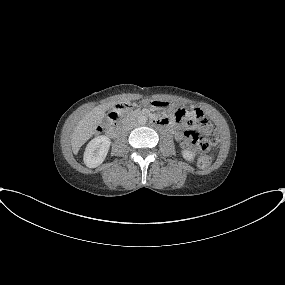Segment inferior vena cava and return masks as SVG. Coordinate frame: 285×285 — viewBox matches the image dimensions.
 <instances>
[{"mask_svg":"<svg viewBox=\"0 0 285 285\" xmlns=\"http://www.w3.org/2000/svg\"><path fill=\"white\" fill-rule=\"evenodd\" d=\"M136 125H137V123L133 122V123L126 126V130H130V129L134 128Z\"/></svg>","mask_w":285,"mask_h":285,"instance_id":"obj_1","label":"inferior vena cava"}]
</instances>
